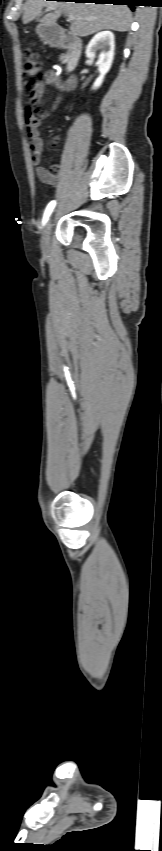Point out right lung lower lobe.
I'll use <instances>...</instances> for the list:
<instances>
[{"label":"right lung lower lobe","instance_id":"right-lung-lower-lobe-1","mask_svg":"<svg viewBox=\"0 0 162 851\" xmlns=\"http://www.w3.org/2000/svg\"><path fill=\"white\" fill-rule=\"evenodd\" d=\"M67 1V0H63ZM75 2H85V3H96V4H114V5H129L133 10V6H136V0H74Z\"/></svg>","mask_w":162,"mask_h":851}]
</instances>
